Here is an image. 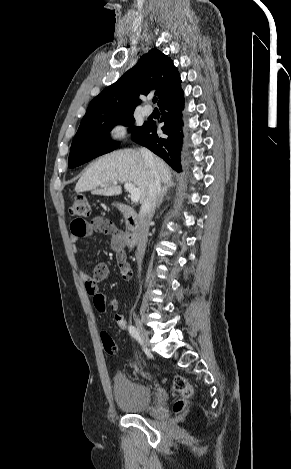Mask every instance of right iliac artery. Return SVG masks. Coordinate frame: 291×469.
<instances>
[{"instance_id": "right-iliac-artery-1", "label": "right iliac artery", "mask_w": 291, "mask_h": 469, "mask_svg": "<svg viewBox=\"0 0 291 469\" xmlns=\"http://www.w3.org/2000/svg\"><path fill=\"white\" fill-rule=\"evenodd\" d=\"M128 331H129L130 335H131L134 339H136L139 343L142 344V341H141L139 332H138V330H137L134 326L130 325V326L128 327Z\"/></svg>"}]
</instances>
